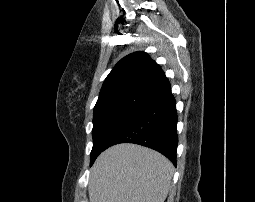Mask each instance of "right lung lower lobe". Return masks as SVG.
Returning <instances> with one entry per match:
<instances>
[{"instance_id": "98d812e1", "label": "right lung lower lobe", "mask_w": 255, "mask_h": 202, "mask_svg": "<svg viewBox=\"0 0 255 202\" xmlns=\"http://www.w3.org/2000/svg\"><path fill=\"white\" fill-rule=\"evenodd\" d=\"M176 124L175 99L168 94L137 111L113 135L106 148L118 143L143 145L162 153L176 166Z\"/></svg>"}]
</instances>
